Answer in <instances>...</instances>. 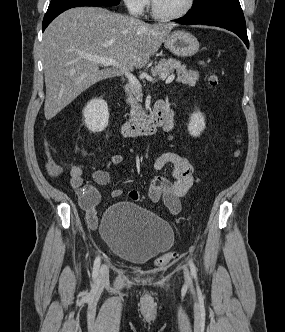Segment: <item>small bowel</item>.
Returning <instances> with one entry per match:
<instances>
[{"instance_id": "small-bowel-1", "label": "small bowel", "mask_w": 285, "mask_h": 332, "mask_svg": "<svg viewBox=\"0 0 285 332\" xmlns=\"http://www.w3.org/2000/svg\"><path fill=\"white\" fill-rule=\"evenodd\" d=\"M172 128L173 120L170 117L164 129L169 132ZM122 160L123 158L119 154L111 156L106 169L96 170L92 173L93 181L98 185H108L111 181L109 170L118 167L122 163ZM166 166L171 167V173L175 181L172 182L167 177L161 175L154 177L148 190V196L154 203L163 202L171 214H177L181 209V197L193 185V167L185 157L171 151L162 153L156 158L153 164L155 171H160ZM69 174L71 187L78 195L80 207L85 211L86 222L91 228H96L98 217L95 207L100 200V194L94 186L84 185L83 170L80 166L73 165L70 168ZM122 195L123 190L121 189H114L111 192L113 198H119ZM128 197L130 200L136 202L140 199V193L133 189L128 192Z\"/></svg>"}]
</instances>
